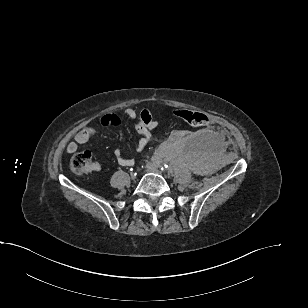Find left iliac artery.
<instances>
[{
  "mask_svg": "<svg viewBox=\"0 0 308 308\" xmlns=\"http://www.w3.org/2000/svg\"><path fill=\"white\" fill-rule=\"evenodd\" d=\"M169 166L167 164H164L163 166H161V170H168Z\"/></svg>",
  "mask_w": 308,
  "mask_h": 308,
  "instance_id": "44dca946",
  "label": "left iliac artery"
}]
</instances>
